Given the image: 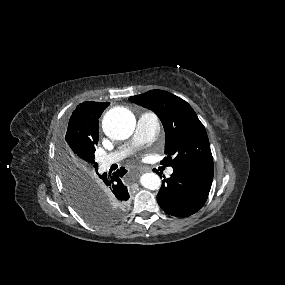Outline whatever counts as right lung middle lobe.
<instances>
[{
    "mask_svg": "<svg viewBox=\"0 0 285 285\" xmlns=\"http://www.w3.org/2000/svg\"><path fill=\"white\" fill-rule=\"evenodd\" d=\"M95 151L71 154L65 144L58 149V167L67 196L77 213L88 222L106 226L114 223L125 212V207L110 194L100 197L94 179L97 163Z\"/></svg>",
    "mask_w": 285,
    "mask_h": 285,
    "instance_id": "1",
    "label": "right lung middle lobe"
}]
</instances>
